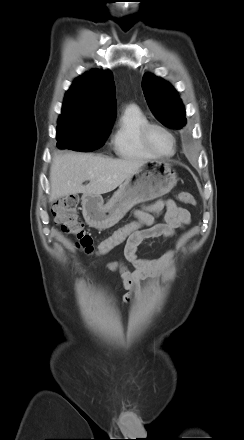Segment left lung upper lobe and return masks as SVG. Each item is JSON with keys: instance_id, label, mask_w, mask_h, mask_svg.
<instances>
[{"instance_id": "1", "label": "left lung upper lobe", "mask_w": 244, "mask_h": 440, "mask_svg": "<svg viewBox=\"0 0 244 440\" xmlns=\"http://www.w3.org/2000/svg\"><path fill=\"white\" fill-rule=\"evenodd\" d=\"M142 89L156 118L165 126L181 129L186 124L185 108L176 90L165 80L146 73Z\"/></svg>"}]
</instances>
